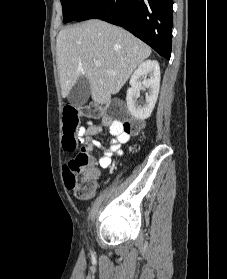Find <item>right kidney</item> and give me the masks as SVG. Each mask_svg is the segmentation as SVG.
Masks as SVG:
<instances>
[{"label":"right kidney","instance_id":"obj_1","mask_svg":"<svg viewBox=\"0 0 227 279\" xmlns=\"http://www.w3.org/2000/svg\"><path fill=\"white\" fill-rule=\"evenodd\" d=\"M149 76V78H147ZM131 87L127 90L126 101L130 113L141 120L150 117L158 98L160 87V67L156 60L142 62L130 79ZM149 89L145 95V104L139 105L136 100L140 97V89Z\"/></svg>","mask_w":227,"mask_h":279}]
</instances>
